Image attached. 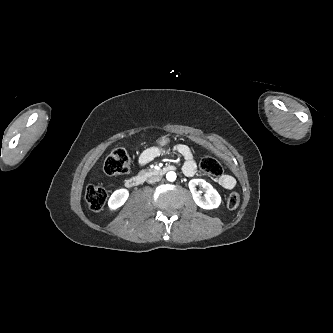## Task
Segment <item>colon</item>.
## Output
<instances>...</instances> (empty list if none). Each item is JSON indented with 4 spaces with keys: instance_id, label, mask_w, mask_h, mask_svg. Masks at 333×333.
Returning <instances> with one entry per match:
<instances>
[{
    "instance_id": "colon-1",
    "label": "colon",
    "mask_w": 333,
    "mask_h": 333,
    "mask_svg": "<svg viewBox=\"0 0 333 333\" xmlns=\"http://www.w3.org/2000/svg\"><path fill=\"white\" fill-rule=\"evenodd\" d=\"M131 165V159L127 151L123 148H117L111 152L104 163V170L109 175L124 174L128 172ZM200 167L203 171L218 176L222 173L220 163L211 156H204L200 160ZM85 199L88 206L93 211H100L106 201L107 192L100 186H89L85 191ZM240 204V195L232 192L227 199L229 209H236Z\"/></svg>"
}]
</instances>
